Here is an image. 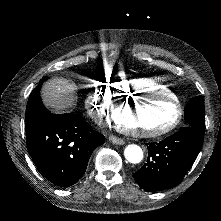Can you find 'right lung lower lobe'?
<instances>
[{"instance_id": "98d812e1", "label": "right lung lower lobe", "mask_w": 221, "mask_h": 221, "mask_svg": "<svg viewBox=\"0 0 221 221\" xmlns=\"http://www.w3.org/2000/svg\"><path fill=\"white\" fill-rule=\"evenodd\" d=\"M25 129L27 149L37 169L60 187L71 186L83 176L93 150L105 141L73 113L36 114L25 120Z\"/></svg>"}]
</instances>
